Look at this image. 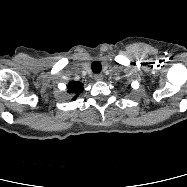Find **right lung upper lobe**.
Returning a JSON list of instances; mask_svg holds the SVG:
<instances>
[{
	"label": "right lung upper lobe",
	"instance_id": "right-lung-upper-lobe-1",
	"mask_svg": "<svg viewBox=\"0 0 187 187\" xmlns=\"http://www.w3.org/2000/svg\"><path fill=\"white\" fill-rule=\"evenodd\" d=\"M68 93L76 94L73 100L76 99L77 95L83 90V84L80 82L72 81L67 85Z\"/></svg>",
	"mask_w": 187,
	"mask_h": 187
}]
</instances>
